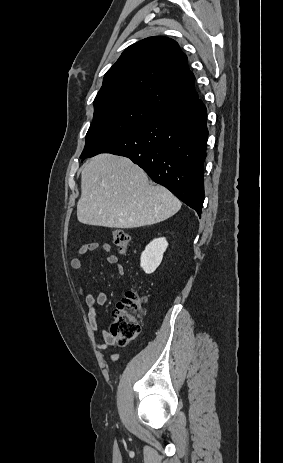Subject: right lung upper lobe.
I'll use <instances>...</instances> for the list:
<instances>
[{"label":"right lung upper lobe","mask_w":283,"mask_h":463,"mask_svg":"<svg viewBox=\"0 0 283 463\" xmlns=\"http://www.w3.org/2000/svg\"><path fill=\"white\" fill-rule=\"evenodd\" d=\"M194 81L187 57L174 40L149 37L125 49L106 72L97 95L126 93L163 110L197 98Z\"/></svg>","instance_id":"cb5924a9"}]
</instances>
